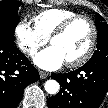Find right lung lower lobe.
I'll return each mask as SVG.
<instances>
[{
    "instance_id": "98d812e1",
    "label": "right lung lower lobe",
    "mask_w": 108,
    "mask_h": 108,
    "mask_svg": "<svg viewBox=\"0 0 108 108\" xmlns=\"http://www.w3.org/2000/svg\"><path fill=\"white\" fill-rule=\"evenodd\" d=\"M39 73L14 42L0 36V108H15Z\"/></svg>"
}]
</instances>
